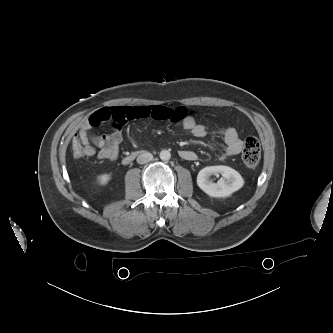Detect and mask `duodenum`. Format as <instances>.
Wrapping results in <instances>:
<instances>
[{"label":"duodenum","mask_w":333,"mask_h":333,"mask_svg":"<svg viewBox=\"0 0 333 333\" xmlns=\"http://www.w3.org/2000/svg\"><path fill=\"white\" fill-rule=\"evenodd\" d=\"M142 153V151H133L130 154H128L127 156L124 157L123 159V164L124 165H128L130 164L132 161H134L136 159L137 156H139Z\"/></svg>","instance_id":"1"}]
</instances>
